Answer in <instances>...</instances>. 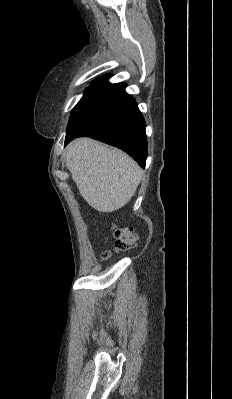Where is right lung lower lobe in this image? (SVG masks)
Segmentation results:
<instances>
[{
  "label": "right lung lower lobe",
  "mask_w": 232,
  "mask_h": 399,
  "mask_svg": "<svg viewBox=\"0 0 232 399\" xmlns=\"http://www.w3.org/2000/svg\"><path fill=\"white\" fill-rule=\"evenodd\" d=\"M125 87L104 81L88 89L71 112L65 146L77 137H91L122 149L144 168L146 124Z\"/></svg>",
  "instance_id": "98d812e1"
}]
</instances>
